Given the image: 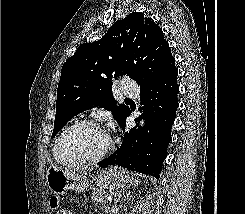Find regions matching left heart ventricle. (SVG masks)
Masks as SVG:
<instances>
[{
    "label": "left heart ventricle",
    "instance_id": "b2bd125f",
    "mask_svg": "<svg viewBox=\"0 0 245 214\" xmlns=\"http://www.w3.org/2000/svg\"><path fill=\"white\" fill-rule=\"evenodd\" d=\"M105 132L93 126H79L63 139L59 153L68 159H85L98 155L107 145Z\"/></svg>",
    "mask_w": 245,
    "mask_h": 214
}]
</instances>
